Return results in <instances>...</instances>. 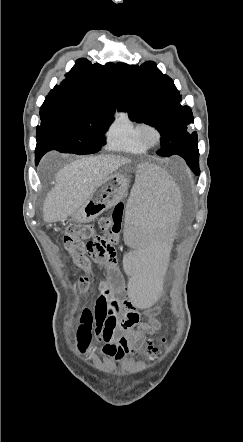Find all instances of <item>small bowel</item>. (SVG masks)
Segmentation results:
<instances>
[{
    "label": "small bowel",
    "instance_id": "1",
    "mask_svg": "<svg viewBox=\"0 0 243 442\" xmlns=\"http://www.w3.org/2000/svg\"><path fill=\"white\" fill-rule=\"evenodd\" d=\"M93 259L104 267L108 280L99 284L100 293L94 306L83 305L80 308L78 350L85 353L94 339L102 343L101 354L105 358L121 362L140 350L148 338L159 330V309L152 308L139 315L129 296H126V286L115 251L110 260ZM125 306L126 311L123 310Z\"/></svg>",
    "mask_w": 243,
    "mask_h": 442
}]
</instances>
